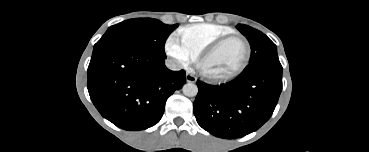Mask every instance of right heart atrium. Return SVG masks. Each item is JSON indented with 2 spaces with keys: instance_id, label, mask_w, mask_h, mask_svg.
Here are the masks:
<instances>
[{
  "instance_id": "d8ad5b80",
  "label": "right heart atrium",
  "mask_w": 369,
  "mask_h": 152,
  "mask_svg": "<svg viewBox=\"0 0 369 152\" xmlns=\"http://www.w3.org/2000/svg\"><path fill=\"white\" fill-rule=\"evenodd\" d=\"M165 51L182 68H188L196 55L181 41L179 35H170L165 42Z\"/></svg>"
}]
</instances>
